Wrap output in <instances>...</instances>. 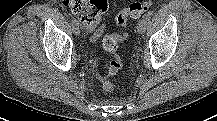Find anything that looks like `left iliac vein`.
<instances>
[{"label": "left iliac vein", "mask_w": 217, "mask_h": 121, "mask_svg": "<svg viewBox=\"0 0 217 121\" xmlns=\"http://www.w3.org/2000/svg\"><path fill=\"white\" fill-rule=\"evenodd\" d=\"M146 27H147V21H145L144 19L140 20L137 24V31L139 33H144L146 30Z\"/></svg>", "instance_id": "obj_1"}]
</instances>
